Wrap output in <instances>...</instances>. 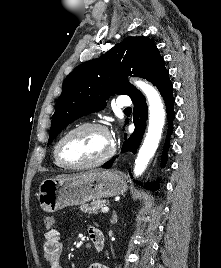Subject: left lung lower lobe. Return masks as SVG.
<instances>
[{
	"label": "left lung lower lobe",
	"mask_w": 221,
	"mask_h": 268,
	"mask_svg": "<svg viewBox=\"0 0 221 268\" xmlns=\"http://www.w3.org/2000/svg\"><path fill=\"white\" fill-rule=\"evenodd\" d=\"M157 88L165 101L167 118H168L167 137H166V142H165L163 153H162V166H164L166 163L165 153L169 147V136L172 133L173 119L175 117V114L173 112V105H174L175 99L173 98V95H172L173 85L170 82L169 77L164 79L157 86ZM132 102L134 103L133 122L135 125V130L133 134L127 140L124 141L123 146H122V152L131 151L132 153H136L140 145V142L142 140L143 134H144L148 109H147L146 99L143 95H140L132 99ZM114 160L115 158L111 159L110 161L106 162L102 167L111 168L114 163ZM145 187L154 190L156 189V184L155 183L145 184Z\"/></svg>",
	"instance_id": "obj_1"
}]
</instances>
